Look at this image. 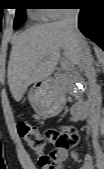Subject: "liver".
<instances>
[{"label": "liver", "mask_w": 104, "mask_h": 169, "mask_svg": "<svg viewBox=\"0 0 104 169\" xmlns=\"http://www.w3.org/2000/svg\"><path fill=\"white\" fill-rule=\"evenodd\" d=\"M61 51L72 64L80 63L78 43L63 21L35 25L13 39L7 75L15 101L22 99L31 84L55 71Z\"/></svg>", "instance_id": "obj_1"}]
</instances>
